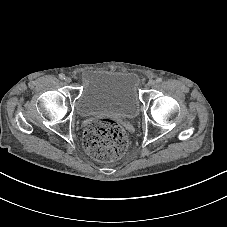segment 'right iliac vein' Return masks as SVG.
Listing matches in <instances>:
<instances>
[{"instance_id":"63e3f726","label":"right iliac vein","mask_w":227,"mask_h":227,"mask_svg":"<svg viewBox=\"0 0 227 227\" xmlns=\"http://www.w3.org/2000/svg\"><path fill=\"white\" fill-rule=\"evenodd\" d=\"M71 81H72V80H71L70 77H66V78H65V82H66V83H70Z\"/></svg>"}]
</instances>
